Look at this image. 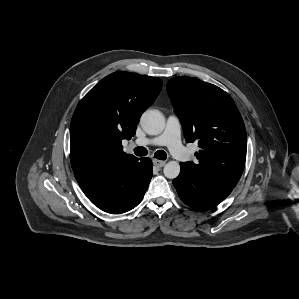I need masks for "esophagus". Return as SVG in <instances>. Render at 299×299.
I'll use <instances>...</instances> for the list:
<instances>
[{"label": "esophagus", "mask_w": 299, "mask_h": 299, "mask_svg": "<svg viewBox=\"0 0 299 299\" xmlns=\"http://www.w3.org/2000/svg\"><path fill=\"white\" fill-rule=\"evenodd\" d=\"M153 164L157 167H163L166 162L158 159H153Z\"/></svg>", "instance_id": "34e87169"}]
</instances>
